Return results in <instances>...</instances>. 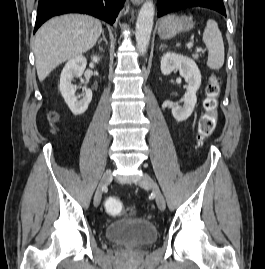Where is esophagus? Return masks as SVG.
I'll list each match as a JSON object with an SVG mask.
<instances>
[{
	"instance_id": "34e87169",
	"label": "esophagus",
	"mask_w": 265,
	"mask_h": 269,
	"mask_svg": "<svg viewBox=\"0 0 265 269\" xmlns=\"http://www.w3.org/2000/svg\"><path fill=\"white\" fill-rule=\"evenodd\" d=\"M143 0H131L134 5H140Z\"/></svg>"
}]
</instances>
